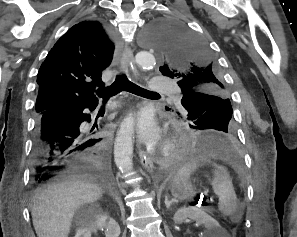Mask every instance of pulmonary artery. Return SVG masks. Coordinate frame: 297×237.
I'll list each match as a JSON object with an SVG mask.
<instances>
[{"instance_id":"pulmonary-artery-1","label":"pulmonary artery","mask_w":297,"mask_h":237,"mask_svg":"<svg viewBox=\"0 0 297 237\" xmlns=\"http://www.w3.org/2000/svg\"><path fill=\"white\" fill-rule=\"evenodd\" d=\"M152 91H172L177 93L173 82L164 79L162 76H157L153 79L149 86ZM115 104H110L108 108H113Z\"/></svg>"}]
</instances>
